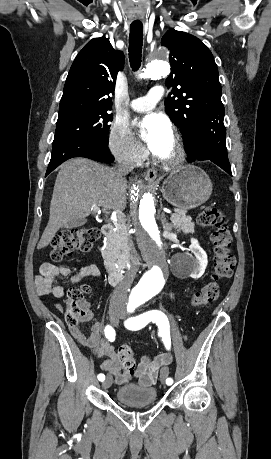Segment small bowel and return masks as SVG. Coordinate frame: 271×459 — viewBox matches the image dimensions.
<instances>
[{"label":"small bowel","mask_w":271,"mask_h":459,"mask_svg":"<svg viewBox=\"0 0 271 459\" xmlns=\"http://www.w3.org/2000/svg\"><path fill=\"white\" fill-rule=\"evenodd\" d=\"M99 275L100 271L95 265H88L77 273L72 274L71 270L66 266L45 263L41 266L40 274L36 278V288L41 296L53 295L56 298H61L64 296L65 287L57 284L58 279L69 277L71 283H77L84 277H99ZM55 307L62 312L60 305H55ZM83 321L91 324L88 334L83 333L78 326H70V333L78 343L87 347L97 357L103 358L100 365L101 369L117 385H124L132 378H136L139 385L152 386L157 381L159 369L171 361L169 354H161L154 358L143 356L136 370H125L120 364L118 353L113 345L101 335V322L91 312Z\"/></svg>","instance_id":"small-bowel-1"}]
</instances>
